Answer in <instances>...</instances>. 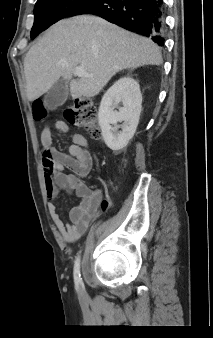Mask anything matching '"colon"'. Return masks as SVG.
Returning <instances> with one entry per match:
<instances>
[{"label":"colon","instance_id":"colon-1","mask_svg":"<svg viewBox=\"0 0 213 338\" xmlns=\"http://www.w3.org/2000/svg\"><path fill=\"white\" fill-rule=\"evenodd\" d=\"M33 117L36 121H44L47 117L46 108L42 101H37L33 107ZM67 122L84 129L92 139H100L102 136L101 128L98 124L97 109L88 99H77L69 105L65 112ZM51 166V164H50ZM110 205L109 200L105 199L101 205V213L107 211Z\"/></svg>","mask_w":213,"mask_h":338}]
</instances>
